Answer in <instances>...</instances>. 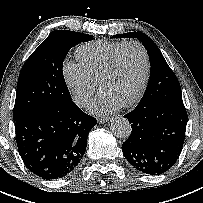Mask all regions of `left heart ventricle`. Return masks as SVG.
Segmentation results:
<instances>
[{
    "mask_svg": "<svg viewBox=\"0 0 203 203\" xmlns=\"http://www.w3.org/2000/svg\"><path fill=\"white\" fill-rule=\"evenodd\" d=\"M143 72L141 51L136 46H128L122 51L114 72L105 81L101 91L124 103L138 91Z\"/></svg>",
    "mask_w": 203,
    "mask_h": 203,
    "instance_id": "1",
    "label": "left heart ventricle"
}]
</instances>
